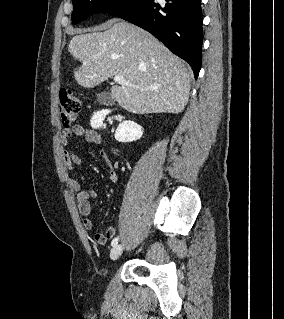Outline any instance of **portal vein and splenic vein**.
<instances>
[{
    "label": "portal vein and splenic vein",
    "mask_w": 284,
    "mask_h": 319,
    "mask_svg": "<svg viewBox=\"0 0 284 319\" xmlns=\"http://www.w3.org/2000/svg\"><path fill=\"white\" fill-rule=\"evenodd\" d=\"M114 81L115 83H118V84H125L127 86H130V87H135V85L131 84V83H128L123 76L121 75H116L114 76Z\"/></svg>",
    "instance_id": "obj_1"
}]
</instances>
